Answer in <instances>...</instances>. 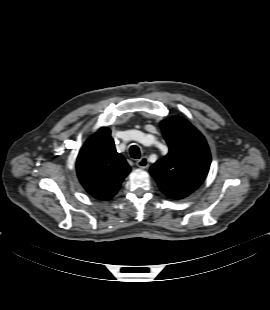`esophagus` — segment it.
Segmentation results:
<instances>
[{"label": "esophagus", "instance_id": "34e87169", "mask_svg": "<svg viewBox=\"0 0 270 310\" xmlns=\"http://www.w3.org/2000/svg\"><path fill=\"white\" fill-rule=\"evenodd\" d=\"M136 165L139 167V168H142V169H145V168H148L149 167V161L146 157H143L141 158L140 160H138L136 162Z\"/></svg>", "mask_w": 270, "mask_h": 310}]
</instances>
